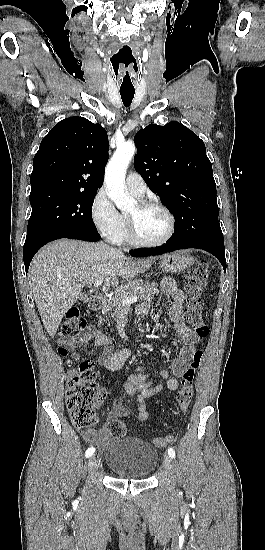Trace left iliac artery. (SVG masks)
Here are the masks:
<instances>
[{"label":"left iliac artery","instance_id":"obj_1","mask_svg":"<svg viewBox=\"0 0 265 550\" xmlns=\"http://www.w3.org/2000/svg\"><path fill=\"white\" fill-rule=\"evenodd\" d=\"M168 455L171 457V458H174L175 457V450L173 448H169L168 449Z\"/></svg>","mask_w":265,"mask_h":550}]
</instances>
